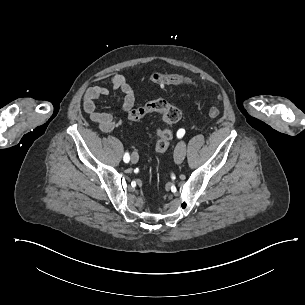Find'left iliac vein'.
Listing matches in <instances>:
<instances>
[{"label": "left iliac vein", "instance_id": "obj_1", "mask_svg": "<svg viewBox=\"0 0 305 305\" xmlns=\"http://www.w3.org/2000/svg\"><path fill=\"white\" fill-rule=\"evenodd\" d=\"M186 153V144L184 141H179L174 150V159L177 164H181L184 161Z\"/></svg>", "mask_w": 305, "mask_h": 305}]
</instances>
